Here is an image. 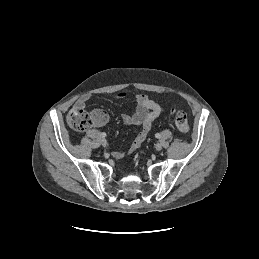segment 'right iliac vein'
Returning a JSON list of instances; mask_svg holds the SVG:
<instances>
[{
    "label": "right iliac vein",
    "instance_id": "obj_1",
    "mask_svg": "<svg viewBox=\"0 0 259 259\" xmlns=\"http://www.w3.org/2000/svg\"><path fill=\"white\" fill-rule=\"evenodd\" d=\"M101 144L106 147L107 146V140L105 138L101 139Z\"/></svg>",
    "mask_w": 259,
    "mask_h": 259
}]
</instances>
